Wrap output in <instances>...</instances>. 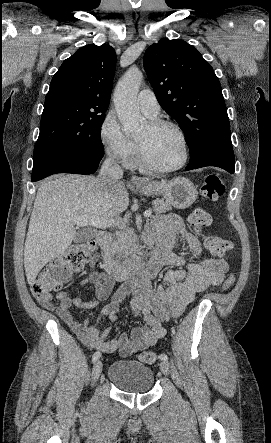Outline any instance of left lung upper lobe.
Here are the masks:
<instances>
[{"label":"left lung upper lobe","mask_w":271,"mask_h":443,"mask_svg":"<svg viewBox=\"0 0 271 443\" xmlns=\"http://www.w3.org/2000/svg\"><path fill=\"white\" fill-rule=\"evenodd\" d=\"M143 63L157 100L184 131L190 161L205 153L234 155L219 79L197 49L164 38L146 50Z\"/></svg>","instance_id":"1"}]
</instances>
